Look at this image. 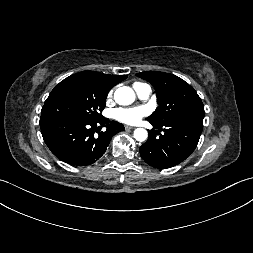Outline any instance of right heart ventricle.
<instances>
[{"instance_id":"e07e8e85","label":"right heart ventricle","mask_w":253,"mask_h":253,"mask_svg":"<svg viewBox=\"0 0 253 253\" xmlns=\"http://www.w3.org/2000/svg\"><path fill=\"white\" fill-rule=\"evenodd\" d=\"M143 85H145V84L144 83H140V82H135L133 84V88L136 90L138 87L143 86Z\"/></svg>"}]
</instances>
